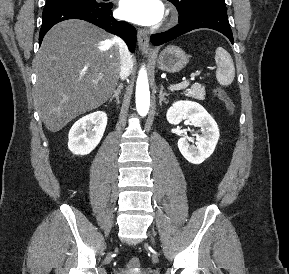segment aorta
<instances>
[{
	"instance_id": "1",
	"label": "aorta",
	"mask_w": 289,
	"mask_h": 274,
	"mask_svg": "<svg viewBox=\"0 0 289 274\" xmlns=\"http://www.w3.org/2000/svg\"><path fill=\"white\" fill-rule=\"evenodd\" d=\"M150 107V90L147 71L142 67L136 83V109L140 116H146Z\"/></svg>"
}]
</instances>
